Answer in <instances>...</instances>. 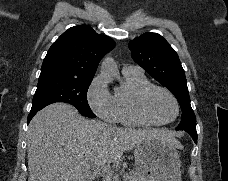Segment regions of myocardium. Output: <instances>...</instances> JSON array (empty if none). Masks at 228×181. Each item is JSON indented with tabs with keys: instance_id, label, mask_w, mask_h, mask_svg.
<instances>
[{
	"instance_id": "f54148a6",
	"label": "myocardium",
	"mask_w": 228,
	"mask_h": 181,
	"mask_svg": "<svg viewBox=\"0 0 228 181\" xmlns=\"http://www.w3.org/2000/svg\"><path fill=\"white\" fill-rule=\"evenodd\" d=\"M153 90H158V91L164 93L169 98L172 108H173V117L172 118L162 120V121H155L149 116V114L146 110L144 100H145V97L147 96V94ZM134 109H135L137 116L141 120H143L144 122L150 123V124H154V125H162V124L169 123L174 118V116L176 115L177 110H178L174 97L167 90H165L161 87L155 86V85H149L139 91L137 99L134 104Z\"/></svg>"
}]
</instances>
